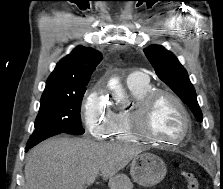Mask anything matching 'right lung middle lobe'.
<instances>
[{
  "mask_svg": "<svg viewBox=\"0 0 223 189\" xmlns=\"http://www.w3.org/2000/svg\"><path fill=\"white\" fill-rule=\"evenodd\" d=\"M86 88L76 92L43 94L33 134L60 132L81 135V102Z\"/></svg>",
  "mask_w": 223,
  "mask_h": 189,
  "instance_id": "dd1d6c3e",
  "label": "right lung middle lobe"
}]
</instances>
